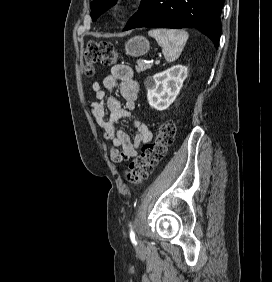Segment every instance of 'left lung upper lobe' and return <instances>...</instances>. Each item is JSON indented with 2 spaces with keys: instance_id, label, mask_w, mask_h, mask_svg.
Here are the masks:
<instances>
[{
  "instance_id": "left-lung-upper-lobe-1",
  "label": "left lung upper lobe",
  "mask_w": 272,
  "mask_h": 282,
  "mask_svg": "<svg viewBox=\"0 0 272 282\" xmlns=\"http://www.w3.org/2000/svg\"><path fill=\"white\" fill-rule=\"evenodd\" d=\"M117 0H93L90 4L91 17L95 21L103 12L112 7Z\"/></svg>"
}]
</instances>
